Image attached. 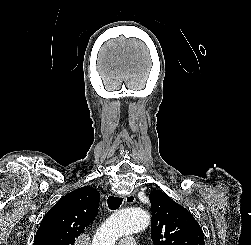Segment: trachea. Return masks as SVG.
Segmentation results:
<instances>
[{"label": "trachea", "mask_w": 251, "mask_h": 245, "mask_svg": "<svg viewBox=\"0 0 251 245\" xmlns=\"http://www.w3.org/2000/svg\"><path fill=\"white\" fill-rule=\"evenodd\" d=\"M123 199L119 198V197H114V196H109L107 203H108V207L111 210H116L120 207V205L122 204Z\"/></svg>", "instance_id": "3493384b"}]
</instances>
